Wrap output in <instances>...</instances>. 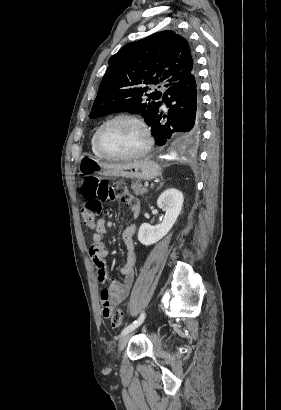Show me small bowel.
<instances>
[{"mask_svg": "<svg viewBox=\"0 0 281 410\" xmlns=\"http://www.w3.org/2000/svg\"><path fill=\"white\" fill-rule=\"evenodd\" d=\"M122 202L131 210L134 217H137L140 212L138 200L130 195L121 196ZM107 227L104 218H99L95 223V233L89 248V256L96 269L97 279L100 283H105L108 279V269L105 258L108 254V249L103 241ZM136 232V224L130 223L126 226L123 234L126 245L127 258L124 266L121 267L120 273L123 276V281L111 280L109 287L105 288L100 293L101 298V314L107 318L111 311L120 303H122L130 293L137 262L136 248L134 244V235Z\"/></svg>", "mask_w": 281, "mask_h": 410, "instance_id": "small-bowel-1", "label": "small bowel"}]
</instances>
